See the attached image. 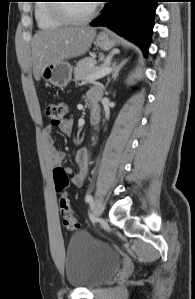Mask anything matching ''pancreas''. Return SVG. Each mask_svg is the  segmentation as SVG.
Returning a JSON list of instances; mask_svg holds the SVG:
<instances>
[{"label": "pancreas", "mask_w": 195, "mask_h": 299, "mask_svg": "<svg viewBox=\"0 0 195 299\" xmlns=\"http://www.w3.org/2000/svg\"><path fill=\"white\" fill-rule=\"evenodd\" d=\"M95 64L96 60L92 57H86L80 60L74 68V78L76 80L84 81L97 70L101 69L102 67L108 66V64H105L102 67H96Z\"/></svg>", "instance_id": "1"}]
</instances>
